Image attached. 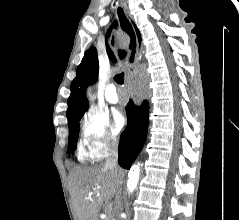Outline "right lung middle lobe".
<instances>
[{
  "label": "right lung middle lobe",
  "mask_w": 239,
  "mask_h": 220,
  "mask_svg": "<svg viewBox=\"0 0 239 220\" xmlns=\"http://www.w3.org/2000/svg\"><path fill=\"white\" fill-rule=\"evenodd\" d=\"M82 118L75 119L69 124V140H68V150L69 153H72L77 146L78 134H79V121Z\"/></svg>",
  "instance_id": "dd1d6c3e"
}]
</instances>
